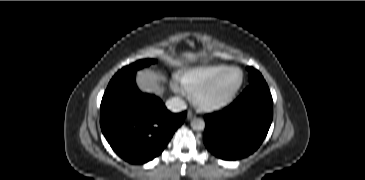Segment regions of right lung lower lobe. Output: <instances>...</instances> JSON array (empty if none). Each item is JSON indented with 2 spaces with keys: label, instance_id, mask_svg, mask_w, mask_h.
Wrapping results in <instances>:
<instances>
[{
  "label": "right lung lower lobe",
  "instance_id": "98d812e1",
  "mask_svg": "<svg viewBox=\"0 0 365 180\" xmlns=\"http://www.w3.org/2000/svg\"><path fill=\"white\" fill-rule=\"evenodd\" d=\"M185 116L186 111L171 113L158 97L141 93L135 73H127L108 84L100 125L117 155L129 163L143 164L164 150Z\"/></svg>",
  "mask_w": 365,
  "mask_h": 180
}]
</instances>
